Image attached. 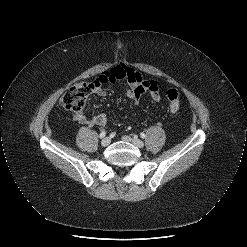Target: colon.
<instances>
[{
	"label": "colon",
	"instance_id": "1",
	"mask_svg": "<svg viewBox=\"0 0 247 247\" xmlns=\"http://www.w3.org/2000/svg\"><path fill=\"white\" fill-rule=\"evenodd\" d=\"M95 83H80L69 88L62 96L61 102L65 109L81 114L84 110L87 97L95 89ZM168 108L172 113L179 111L181 106V96L178 90L169 89L167 91Z\"/></svg>",
	"mask_w": 247,
	"mask_h": 247
}]
</instances>
